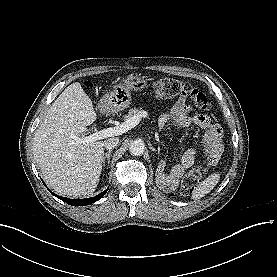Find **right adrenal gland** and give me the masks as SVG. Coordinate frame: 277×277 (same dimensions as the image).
<instances>
[{"label": "right adrenal gland", "mask_w": 277, "mask_h": 277, "mask_svg": "<svg viewBox=\"0 0 277 277\" xmlns=\"http://www.w3.org/2000/svg\"><path fill=\"white\" fill-rule=\"evenodd\" d=\"M112 150H108L103 158V165L105 166V161H108V164L110 163V155H111Z\"/></svg>", "instance_id": "1"}]
</instances>
